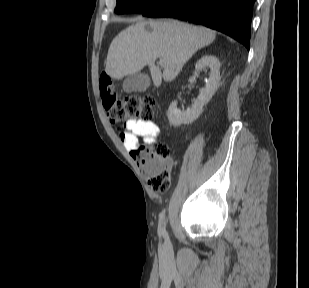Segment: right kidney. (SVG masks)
<instances>
[{
    "mask_svg": "<svg viewBox=\"0 0 309 288\" xmlns=\"http://www.w3.org/2000/svg\"><path fill=\"white\" fill-rule=\"evenodd\" d=\"M205 68L210 69L209 80L207 81L205 88L200 89L199 96L194 101L192 107L188 108L185 112H182L177 108L176 101L170 104L167 116L171 124L180 126L194 122L203 112V107L210 101L216 92L220 82V62L213 55L203 56L195 65V75ZM195 79L196 76H193L189 81L193 83L195 82Z\"/></svg>",
    "mask_w": 309,
    "mask_h": 288,
    "instance_id": "obj_1",
    "label": "right kidney"
}]
</instances>
